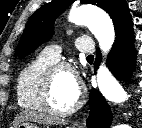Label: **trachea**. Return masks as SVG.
Returning <instances> with one entry per match:
<instances>
[{
  "instance_id": "1",
  "label": "trachea",
  "mask_w": 142,
  "mask_h": 128,
  "mask_svg": "<svg viewBox=\"0 0 142 128\" xmlns=\"http://www.w3.org/2000/svg\"><path fill=\"white\" fill-rule=\"evenodd\" d=\"M87 58H88V59H93L94 56H93V55H89Z\"/></svg>"
}]
</instances>
